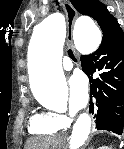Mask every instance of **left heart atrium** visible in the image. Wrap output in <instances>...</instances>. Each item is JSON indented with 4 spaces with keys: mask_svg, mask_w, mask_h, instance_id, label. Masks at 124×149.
<instances>
[{
    "mask_svg": "<svg viewBox=\"0 0 124 149\" xmlns=\"http://www.w3.org/2000/svg\"><path fill=\"white\" fill-rule=\"evenodd\" d=\"M89 98L88 83L81 74H74L69 80V104L73 112L85 108Z\"/></svg>",
    "mask_w": 124,
    "mask_h": 149,
    "instance_id": "left-heart-atrium-1",
    "label": "left heart atrium"
}]
</instances>
